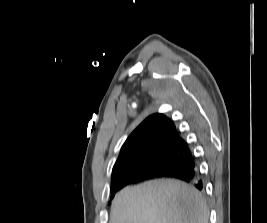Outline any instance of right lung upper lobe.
Segmentation results:
<instances>
[{
    "mask_svg": "<svg viewBox=\"0 0 267 223\" xmlns=\"http://www.w3.org/2000/svg\"><path fill=\"white\" fill-rule=\"evenodd\" d=\"M167 147L189 151L173 122L163 114L146 118L127 138L113 167L112 178L126 172L124 166L134 161H144Z\"/></svg>",
    "mask_w": 267,
    "mask_h": 223,
    "instance_id": "obj_1",
    "label": "right lung upper lobe"
}]
</instances>
